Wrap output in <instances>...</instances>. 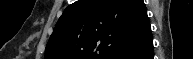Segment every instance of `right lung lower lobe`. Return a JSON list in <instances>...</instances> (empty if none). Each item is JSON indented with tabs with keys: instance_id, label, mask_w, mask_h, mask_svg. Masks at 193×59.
Wrapping results in <instances>:
<instances>
[{
	"instance_id": "1",
	"label": "right lung lower lobe",
	"mask_w": 193,
	"mask_h": 59,
	"mask_svg": "<svg viewBox=\"0 0 193 59\" xmlns=\"http://www.w3.org/2000/svg\"><path fill=\"white\" fill-rule=\"evenodd\" d=\"M153 57V39L152 33H150L141 42L119 54L114 59H153Z\"/></svg>"
}]
</instances>
